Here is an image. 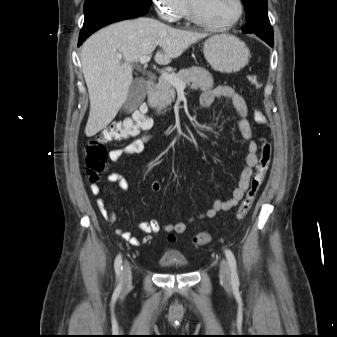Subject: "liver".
<instances>
[{
	"label": "liver",
	"instance_id": "obj_1",
	"mask_svg": "<svg viewBox=\"0 0 337 337\" xmlns=\"http://www.w3.org/2000/svg\"><path fill=\"white\" fill-rule=\"evenodd\" d=\"M205 35L175 29L151 18L114 23L89 37L82 46L81 63L88 88V137L108 126L128 98L133 82L132 63L151 54L156 63L169 64Z\"/></svg>",
	"mask_w": 337,
	"mask_h": 337
}]
</instances>
